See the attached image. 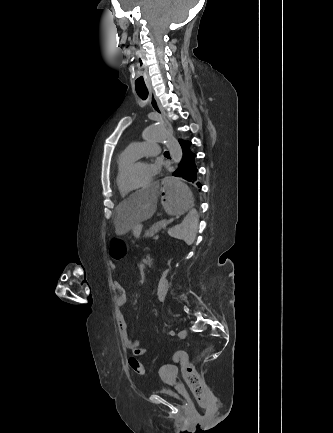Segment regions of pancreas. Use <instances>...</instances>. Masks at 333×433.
Masks as SVG:
<instances>
[{
    "label": "pancreas",
    "mask_w": 333,
    "mask_h": 433,
    "mask_svg": "<svg viewBox=\"0 0 333 433\" xmlns=\"http://www.w3.org/2000/svg\"><path fill=\"white\" fill-rule=\"evenodd\" d=\"M167 220L162 219L154 224H152L148 229L144 231L145 238H155L158 236V233L162 230L164 225H167Z\"/></svg>",
    "instance_id": "pancreas-1"
}]
</instances>
